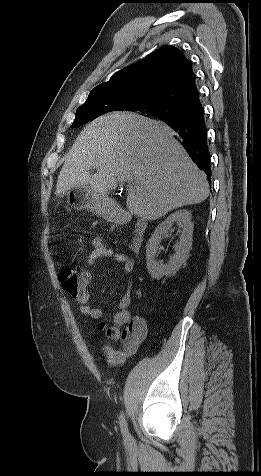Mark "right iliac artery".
Wrapping results in <instances>:
<instances>
[{
    "label": "right iliac artery",
    "mask_w": 261,
    "mask_h": 476,
    "mask_svg": "<svg viewBox=\"0 0 261 476\" xmlns=\"http://www.w3.org/2000/svg\"><path fill=\"white\" fill-rule=\"evenodd\" d=\"M120 428L124 438H127L129 433L127 428V422L123 413L120 415Z\"/></svg>",
    "instance_id": "right-iliac-artery-1"
}]
</instances>
